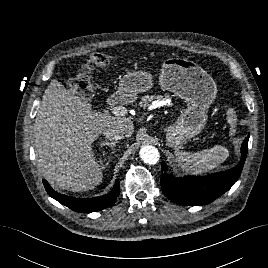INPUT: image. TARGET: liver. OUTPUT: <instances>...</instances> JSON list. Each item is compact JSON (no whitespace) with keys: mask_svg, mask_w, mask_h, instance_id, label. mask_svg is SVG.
Segmentation results:
<instances>
[{"mask_svg":"<svg viewBox=\"0 0 268 268\" xmlns=\"http://www.w3.org/2000/svg\"><path fill=\"white\" fill-rule=\"evenodd\" d=\"M120 125L132 135L130 118L93 111L91 104L51 80L34 124L37 166L56 186L73 192L92 190L103 179L92 143L109 126Z\"/></svg>","mask_w":268,"mask_h":268,"instance_id":"6515ba94","label":"liver"}]
</instances>
